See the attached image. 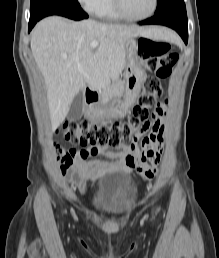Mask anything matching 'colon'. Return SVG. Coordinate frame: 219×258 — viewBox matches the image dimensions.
Listing matches in <instances>:
<instances>
[{
	"mask_svg": "<svg viewBox=\"0 0 219 258\" xmlns=\"http://www.w3.org/2000/svg\"><path fill=\"white\" fill-rule=\"evenodd\" d=\"M140 60L152 74L143 84L132 113L124 121L95 122L82 120L65 123L63 137L73 145L91 146L94 155L96 147H117L130 142L152 117L153 107L163 94L161 79L167 78L178 61V54L171 51L167 42L142 38L139 41ZM77 152L58 146L56 156L65 171L73 162Z\"/></svg>",
	"mask_w": 219,
	"mask_h": 258,
	"instance_id": "colon-1",
	"label": "colon"
}]
</instances>
